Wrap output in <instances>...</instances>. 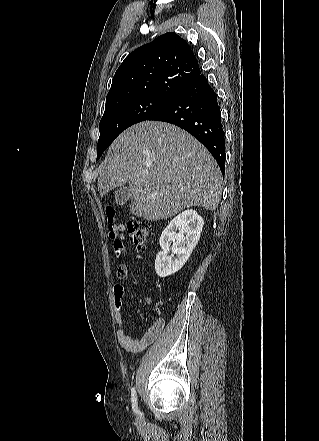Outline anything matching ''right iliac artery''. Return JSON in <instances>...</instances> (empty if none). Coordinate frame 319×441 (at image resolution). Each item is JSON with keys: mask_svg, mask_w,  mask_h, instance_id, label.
<instances>
[{"mask_svg": "<svg viewBox=\"0 0 319 441\" xmlns=\"http://www.w3.org/2000/svg\"><path fill=\"white\" fill-rule=\"evenodd\" d=\"M131 402H132L133 412L138 413L137 395L134 387L131 389Z\"/></svg>", "mask_w": 319, "mask_h": 441, "instance_id": "obj_1", "label": "right iliac artery"}]
</instances>
